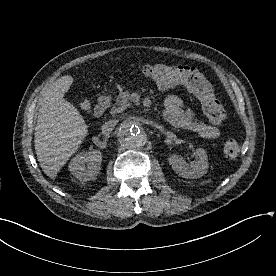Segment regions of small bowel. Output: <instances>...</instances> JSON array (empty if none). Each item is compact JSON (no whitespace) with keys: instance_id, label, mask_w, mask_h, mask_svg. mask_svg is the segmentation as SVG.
Wrapping results in <instances>:
<instances>
[{"instance_id":"small-bowel-1","label":"small bowel","mask_w":276,"mask_h":276,"mask_svg":"<svg viewBox=\"0 0 276 276\" xmlns=\"http://www.w3.org/2000/svg\"><path fill=\"white\" fill-rule=\"evenodd\" d=\"M164 118L171 125L191 131L205 139H216L220 136L218 127L196 118L194 113L186 108L182 100L170 95L165 100Z\"/></svg>"}]
</instances>
